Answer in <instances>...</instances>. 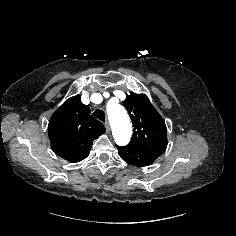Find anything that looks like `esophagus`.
Returning <instances> with one entry per match:
<instances>
[{
	"label": "esophagus",
	"mask_w": 236,
	"mask_h": 236,
	"mask_svg": "<svg viewBox=\"0 0 236 236\" xmlns=\"http://www.w3.org/2000/svg\"><path fill=\"white\" fill-rule=\"evenodd\" d=\"M104 125H105V128H106L107 132L109 133V132H110V124H109V122L106 121V122L104 123Z\"/></svg>",
	"instance_id": "34e87169"
}]
</instances>
